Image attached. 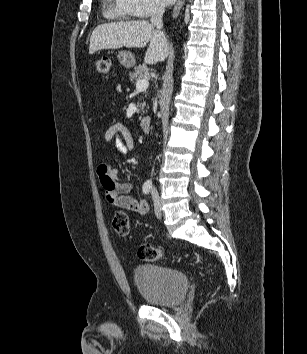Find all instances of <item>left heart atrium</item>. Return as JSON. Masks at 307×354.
<instances>
[{"label": "left heart atrium", "mask_w": 307, "mask_h": 354, "mask_svg": "<svg viewBox=\"0 0 307 354\" xmlns=\"http://www.w3.org/2000/svg\"><path fill=\"white\" fill-rule=\"evenodd\" d=\"M175 0H160V2L164 5L172 4Z\"/></svg>", "instance_id": "39dd6f15"}]
</instances>
